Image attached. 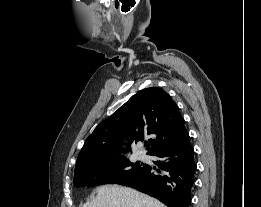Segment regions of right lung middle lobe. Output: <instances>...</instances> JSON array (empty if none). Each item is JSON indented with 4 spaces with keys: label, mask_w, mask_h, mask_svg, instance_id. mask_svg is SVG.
I'll return each instance as SVG.
<instances>
[{
    "label": "right lung middle lobe",
    "mask_w": 261,
    "mask_h": 207,
    "mask_svg": "<svg viewBox=\"0 0 261 207\" xmlns=\"http://www.w3.org/2000/svg\"><path fill=\"white\" fill-rule=\"evenodd\" d=\"M119 156L106 157L75 168L73 183L77 187L117 184L143 168Z\"/></svg>",
    "instance_id": "dd1d6c3e"
}]
</instances>
